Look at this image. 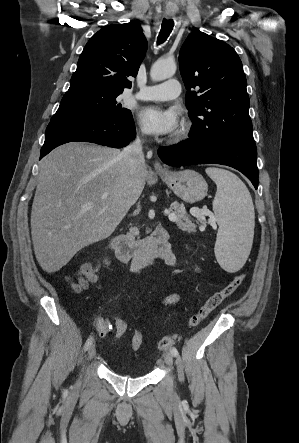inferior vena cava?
I'll list each match as a JSON object with an SVG mask.
<instances>
[{"instance_id":"obj_1","label":"inferior vena cava","mask_w":299,"mask_h":443,"mask_svg":"<svg viewBox=\"0 0 299 443\" xmlns=\"http://www.w3.org/2000/svg\"><path fill=\"white\" fill-rule=\"evenodd\" d=\"M120 156L126 161L131 171H135L137 168H142L145 165L142 142L138 137L124 148Z\"/></svg>"}]
</instances>
